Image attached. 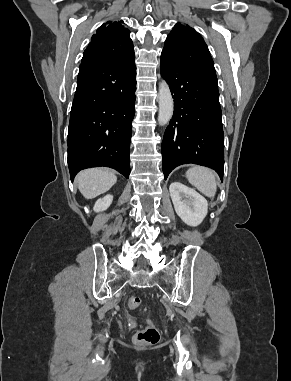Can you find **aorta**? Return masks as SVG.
I'll return each instance as SVG.
<instances>
[{"label": "aorta", "mask_w": 291, "mask_h": 381, "mask_svg": "<svg viewBox=\"0 0 291 381\" xmlns=\"http://www.w3.org/2000/svg\"><path fill=\"white\" fill-rule=\"evenodd\" d=\"M158 103V123L160 126H164L169 123L174 111V102L171 91L167 82L164 80L159 84Z\"/></svg>", "instance_id": "aorta-1"}]
</instances>
